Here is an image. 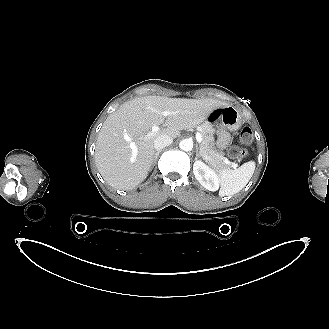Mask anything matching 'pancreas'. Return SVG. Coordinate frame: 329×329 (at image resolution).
I'll return each instance as SVG.
<instances>
[{"mask_svg": "<svg viewBox=\"0 0 329 329\" xmlns=\"http://www.w3.org/2000/svg\"><path fill=\"white\" fill-rule=\"evenodd\" d=\"M198 130L202 135V142L199 145L201 155L214 168L227 167L228 164L225 163L226 158L221 151L216 150L214 147V128L208 124H202L198 127Z\"/></svg>", "mask_w": 329, "mask_h": 329, "instance_id": "pancreas-1", "label": "pancreas"}]
</instances>
